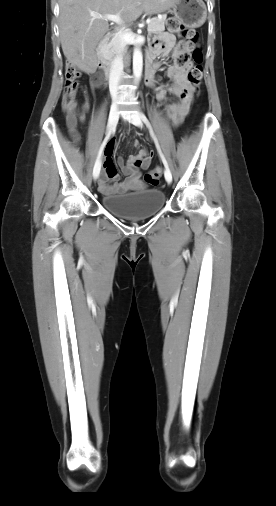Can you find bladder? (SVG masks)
Returning a JSON list of instances; mask_svg holds the SVG:
<instances>
[{
	"label": "bladder",
	"mask_w": 276,
	"mask_h": 506,
	"mask_svg": "<svg viewBox=\"0 0 276 506\" xmlns=\"http://www.w3.org/2000/svg\"><path fill=\"white\" fill-rule=\"evenodd\" d=\"M101 201L108 211L134 219L158 212L165 204V193L160 189L145 188L135 192L103 195Z\"/></svg>",
	"instance_id": "31cf9c89"
}]
</instances>
